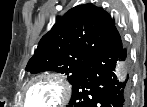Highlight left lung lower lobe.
I'll return each mask as SVG.
<instances>
[{"label": "left lung lower lobe", "instance_id": "0a47b994", "mask_svg": "<svg viewBox=\"0 0 147 107\" xmlns=\"http://www.w3.org/2000/svg\"><path fill=\"white\" fill-rule=\"evenodd\" d=\"M126 49L114 26L99 49L84 64L72 83L67 107H126L129 74L114 73L116 63L126 60Z\"/></svg>", "mask_w": 147, "mask_h": 107}]
</instances>
